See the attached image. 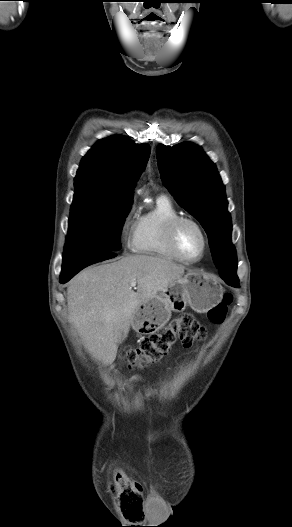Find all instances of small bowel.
Wrapping results in <instances>:
<instances>
[{
	"label": "small bowel",
	"instance_id": "obj_1",
	"mask_svg": "<svg viewBox=\"0 0 292 527\" xmlns=\"http://www.w3.org/2000/svg\"><path fill=\"white\" fill-rule=\"evenodd\" d=\"M143 380H144L143 377L138 375V376L133 377L131 379V382H134V383L135 382H142Z\"/></svg>",
	"mask_w": 292,
	"mask_h": 527
}]
</instances>
